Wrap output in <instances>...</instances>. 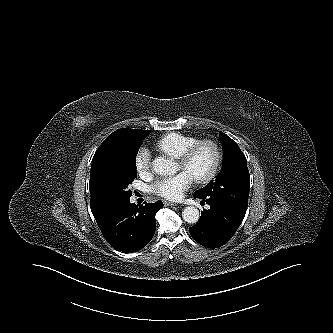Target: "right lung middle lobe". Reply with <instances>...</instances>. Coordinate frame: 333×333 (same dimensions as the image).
<instances>
[{
    "label": "right lung middle lobe",
    "mask_w": 333,
    "mask_h": 333,
    "mask_svg": "<svg viewBox=\"0 0 333 333\" xmlns=\"http://www.w3.org/2000/svg\"><path fill=\"white\" fill-rule=\"evenodd\" d=\"M150 131L110 153L100 172V183L106 198L113 204L131 197L127 187L137 177L136 155Z\"/></svg>",
    "instance_id": "right-lung-middle-lobe-1"
}]
</instances>
